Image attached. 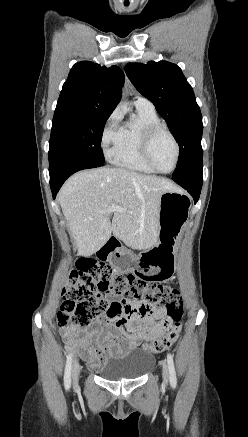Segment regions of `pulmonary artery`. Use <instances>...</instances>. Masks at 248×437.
<instances>
[{
  "label": "pulmonary artery",
  "mask_w": 248,
  "mask_h": 437,
  "mask_svg": "<svg viewBox=\"0 0 248 437\" xmlns=\"http://www.w3.org/2000/svg\"><path fill=\"white\" fill-rule=\"evenodd\" d=\"M134 105L138 108L154 109L152 102L143 96H136L134 98Z\"/></svg>",
  "instance_id": "1"
}]
</instances>
